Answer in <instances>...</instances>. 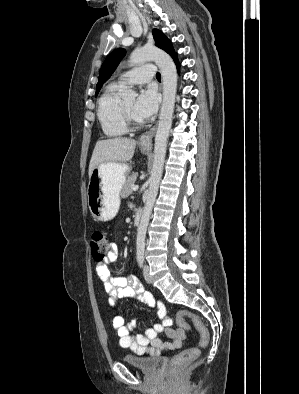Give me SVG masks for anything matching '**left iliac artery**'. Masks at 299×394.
<instances>
[{"instance_id": "obj_1", "label": "left iliac artery", "mask_w": 299, "mask_h": 394, "mask_svg": "<svg viewBox=\"0 0 299 394\" xmlns=\"http://www.w3.org/2000/svg\"><path fill=\"white\" fill-rule=\"evenodd\" d=\"M143 263H144V256H138V264H139V266L142 267Z\"/></svg>"}]
</instances>
